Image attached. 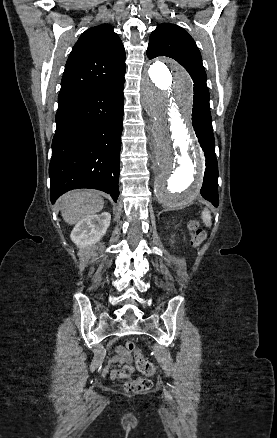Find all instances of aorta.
Listing matches in <instances>:
<instances>
[{
	"label": "aorta",
	"mask_w": 277,
	"mask_h": 438,
	"mask_svg": "<svg viewBox=\"0 0 277 438\" xmlns=\"http://www.w3.org/2000/svg\"><path fill=\"white\" fill-rule=\"evenodd\" d=\"M192 94L189 75L172 61L157 60L142 75L141 102L153 120L160 168L155 194L167 208L190 204L203 180L204 156L191 127Z\"/></svg>",
	"instance_id": "obj_1"
}]
</instances>
